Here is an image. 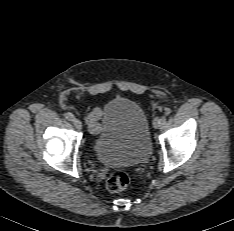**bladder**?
<instances>
[{"instance_id":"1","label":"bladder","mask_w":234,"mask_h":231,"mask_svg":"<svg viewBox=\"0 0 234 231\" xmlns=\"http://www.w3.org/2000/svg\"><path fill=\"white\" fill-rule=\"evenodd\" d=\"M97 160L106 166H136L152 153L148 118L134 100L118 97L104 109L94 141Z\"/></svg>"}]
</instances>
